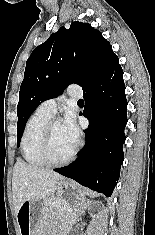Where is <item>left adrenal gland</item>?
<instances>
[{
  "label": "left adrenal gland",
  "instance_id": "a2214340",
  "mask_svg": "<svg viewBox=\"0 0 155 235\" xmlns=\"http://www.w3.org/2000/svg\"><path fill=\"white\" fill-rule=\"evenodd\" d=\"M84 211L78 210V215H81Z\"/></svg>",
  "mask_w": 155,
  "mask_h": 235
}]
</instances>
